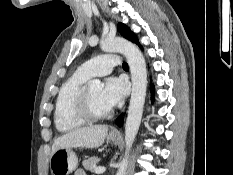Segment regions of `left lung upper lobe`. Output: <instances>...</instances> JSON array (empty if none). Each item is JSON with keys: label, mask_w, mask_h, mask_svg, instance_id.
Returning <instances> with one entry per match:
<instances>
[{"label": "left lung upper lobe", "mask_w": 233, "mask_h": 175, "mask_svg": "<svg viewBox=\"0 0 233 175\" xmlns=\"http://www.w3.org/2000/svg\"><path fill=\"white\" fill-rule=\"evenodd\" d=\"M118 30L124 38L140 46L137 36L126 25L118 23Z\"/></svg>", "instance_id": "5c2ea615"}]
</instances>
